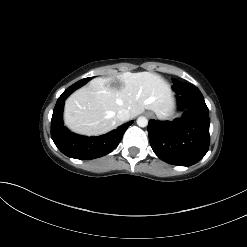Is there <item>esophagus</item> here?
Segmentation results:
<instances>
[{"label": "esophagus", "instance_id": "esophagus-1", "mask_svg": "<svg viewBox=\"0 0 247 247\" xmlns=\"http://www.w3.org/2000/svg\"><path fill=\"white\" fill-rule=\"evenodd\" d=\"M148 117H150L151 115L150 114H147Z\"/></svg>", "mask_w": 247, "mask_h": 247}]
</instances>
